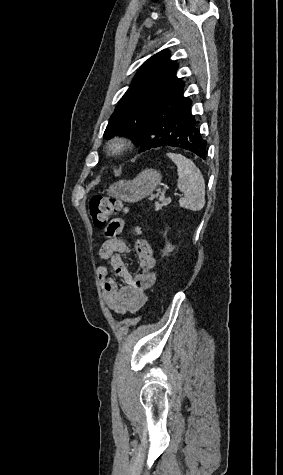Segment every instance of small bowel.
Masks as SVG:
<instances>
[{
    "instance_id": "obj_1",
    "label": "small bowel",
    "mask_w": 283,
    "mask_h": 475,
    "mask_svg": "<svg viewBox=\"0 0 283 475\" xmlns=\"http://www.w3.org/2000/svg\"><path fill=\"white\" fill-rule=\"evenodd\" d=\"M123 226L122 219H115L102 225L103 235L106 240L99 249L101 259L109 262L114 273L123 279L125 285L119 287L116 281L109 276L106 265H98L96 275L101 285L107 307L118 315L126 316L137 313L146 303V290L156 281L157 273L148 276L147 283H136L135 276L130 274L122 259L123 254H128L130 249L121 239Z\"/></svg>"
}]
</instances>
